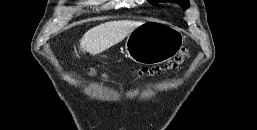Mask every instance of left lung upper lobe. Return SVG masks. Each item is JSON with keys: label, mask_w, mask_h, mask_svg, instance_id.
Instances as JSON below:
<instances>
[{"label": "left lung upper lobe", "mask_w": 257, "mask_h": 130, "mask_svg": "<svg viewBox=\"0 0 257 130\" xmlns=\"http://www.w3.org/2000/svg\"><path fill=\"white\" fill-rule=\"evenodd\" d=\"M150 2H167L172 1L179 4L183 9H187L189 7V0H149Z\"/></svg>", "instance_id": "left-lung-upper-lobe-1"}]
</instances>
